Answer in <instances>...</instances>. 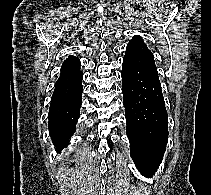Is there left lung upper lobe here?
<instances>
[{"label":"left lung upper lobe","mask_w":211,"mask_h":195,"mask_svg":"<svg viewBox=\"0 0 211 195\" xmlns=\"http://www.w3.org/2000/svg\"><path fill=\"white\" fill-rule=\"evenodd\" d=\"M124 57L133 61H146L156 67L153 53L139 35H135L129 41Z\"/></svg>","instance_id":"obj_1"}]
</instances>
